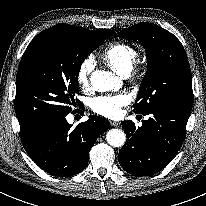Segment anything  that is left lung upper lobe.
<instances>
[{
    "mask_svg": "<svg viewBox=\"0 0 206 206\" xmlns=\"http://www.w3.org/2000/svg\"><path fill=\"white\" fill-rule=\"evenodd\" d=\"M118 36L138 40L146 49L148 68L134 104L135 113L143 115L155 106L192 109L191 70L176 36L152 23L133 25Z\"/></svg>",
    "mask_w": 206,
    "mask_h": 206,
    "instance_id": "5c2ea615",
    "label": "left lung upper lobe"
}]
</instances>
